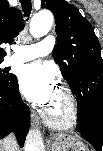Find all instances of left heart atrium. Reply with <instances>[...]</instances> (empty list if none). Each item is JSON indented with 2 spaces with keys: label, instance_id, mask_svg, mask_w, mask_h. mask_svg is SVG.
Masks as SVG:
<instances>
[{
  "label": "left heart atrium",
  "instance_id": "left-heart-atrium-1",
  "mask_svg": "<svg viewBox=\"0 0 103 151\" xmlns=\"http://www.w3.org/2000/svg\"><path fill=\"white\" fill-rule=\"evenodd\" d=\"M19 85L28 100L44 108L51 104L58 91L52 70L39 62L21 69Z\"/></svg>",
  "mask_w": 103,
  "mask_h": 151
}]
</instances>
